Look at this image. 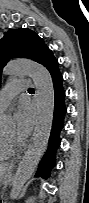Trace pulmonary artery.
Wrapping results in <instances>:
<instances>
[{"instance_id": "pulmonary-artery-1", "label": "pulmonary artery", "mask_w": 89, "mask_h": 203, "mask_svg": "<svg viewBox=\"0 0 89 203\" xmlns=\"http://www.w3.org/2000/svg\"><path fill=\"white\" fill-rule=\"evenodd\" d=\"M28 87L29 82L26 79H17L9 82L0 93V111L5 110L13 97H15L19 92L27 90Z\"/></svg>"}]
</instances>
